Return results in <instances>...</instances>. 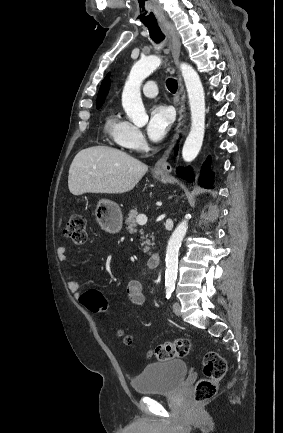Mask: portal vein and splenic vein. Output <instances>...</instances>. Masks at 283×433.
Instances as JSON below:
<instances>
[{
    "label": "portal vein and splenic vein",
    "mask_w": 283,
    "mask_h": 433,
    "mask_svg": "<svg viewBox=\"0 0 283 433\" xmlns=\"http://www.w3.org/2000/svg\"><path fill=\"white\" fill-rule=\"evenodd\" d=\"M136 223H138V225H145V223H147L146 214H138Z\"/></svg>",
    "instance_id": "1"
}]
</instances>
